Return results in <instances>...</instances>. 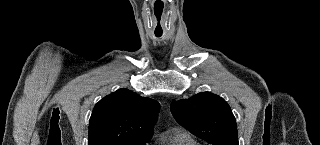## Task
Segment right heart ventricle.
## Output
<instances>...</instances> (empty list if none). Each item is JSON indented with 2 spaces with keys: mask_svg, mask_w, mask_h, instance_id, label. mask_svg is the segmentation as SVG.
I'll list each match as a JSON object with an SVG mask.
<instances>
[{
  "mask_svg": "<svg viewBox=\"0 0 320 145\" xmlns=\"http://www.w3.org/2000/svg\"><path fill=\"white\" fill-rule=\"evenodd\" d=\"M163 145H200L188 132L175 131L164 140Z\"/></svg>",
  "mask_w": 320,
  "mask_h": 145,
  "instance_id": "obj_1",
  "label": "right heart ventricle"
}]
</instances>
